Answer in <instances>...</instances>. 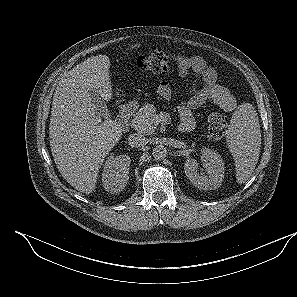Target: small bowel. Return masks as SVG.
Masks as SVG:
<instances>
[{
  "instance_id": "c3829d8e",
  "label": "small bowel",
  "mask_w": 297,
  "mask_h": 297,
  "mask_svg": "<svg viewBox=\"0 0 297 297\" xmlns=\"http://www.w3.org/2000/svg\"><path fill=\"white\" fill-rule=\"evenodd\" d=\"M177 67V74L180 78H185L192 73L202 82V87L194 89L191 96L182 101L178 106L180 116V130L190 131L195 126L193 110L201 107L206 102H212L225 112H232L236 109L237 103L229 90L218 80V75L213 67L197 55L186 56L183 54H173ZM160 96L165 99H173V92L168 82L162 81L158 87Z\"/></svg>"
}]
</instances>
